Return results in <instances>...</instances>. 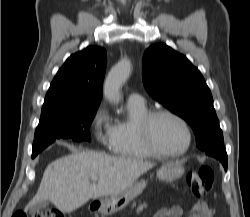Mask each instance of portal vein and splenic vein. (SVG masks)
Wrapping results in <instances>:
<instances>
[{
	"instance_id": "portal-vein-and-splenic-vein-1",
	"label": "portal vein and splenic vein",
	"mask_w": 250,
	"mask_h": 217,
	"mask_svg": "<svg viewBox=\"0 0 250 217\" xmlns=\"http://www.w3.org/2000/svg\"><path fill=\"white\" fill-rule=\"evenodd\" d=\"M92 180H93V182H96V181H97V178H96V177H93Z\"/></svg>"
}]
</instances>
